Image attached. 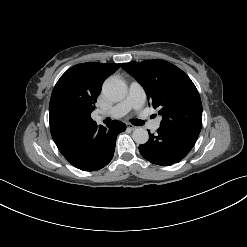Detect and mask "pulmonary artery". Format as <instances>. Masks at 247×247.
<instances>
[{"label": "pulmonary artery", "mask_w": 247, "mask_h": 247, "mask_svg": "<svg viewBox=\"0 0 247 247\" xmlns=\"http://www.w3.org/2000/svg\"><path fill=\"white\" fill-rule=\"evenodd\" d=\"M145 101V92L143 87L138 82H131L126 98L113 106L107 111L100 112L97 115V119L100 120L104 117L121 118L126 115L130 110H139L143 106ZM148 127L152 130H156L160 126V120H147Z\"/></svg>", "instance_id": "obj_1"}]
</instances>
